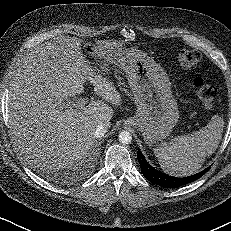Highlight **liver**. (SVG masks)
Returning a JSON list of instances; mask_svg holds the SVG:
<instances>
[{"mask_svg":"<svg viewBox=\"0 0 231 231\" xmlns=\"http://www.w3.org/2000/svg\"><path fill=\"white\" fill-rule=\"evenodd\" d=\"M82 40L62 36L37 46L13 72L9 88V125L13 139L27 163L44 169H60L84 158L95 142L98 124L110 122L121 95L108 78V62L90 66L81 50ZM101 55H109L121 43L95 41ZM110 64V63H109ZM90 81L102 100L80 109L62 108V99L84 92Z\"/></svg>","mask_w":231,"mask_h":231,"instance_id":"6515ba94","label":"liver"}]
</instances>
